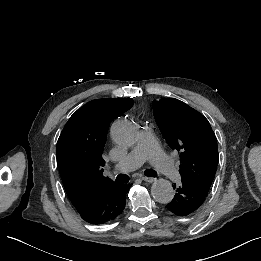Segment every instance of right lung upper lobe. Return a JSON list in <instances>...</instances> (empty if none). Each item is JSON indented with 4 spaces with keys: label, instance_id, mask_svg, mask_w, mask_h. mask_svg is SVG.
<instances>
[{
    "label": "right lung upper lobe",
    "instance_id": "obj_1",
    "mask_svg": "<svg viewBox=\"0 0 261 261\" xmlns=\"http://www.w3.org/2000/svg\"><path fill=\"white\" fill-rule=\"evenodd\" d=\"M134 104L132 99H96L68 120L57 142L61 179L72 205L78 209L91 195L113 182L103 176L102 158L111 121Z\"/></svg>",
    "mask_w": 261,
    "mask_h": 261
}]
</instances>
